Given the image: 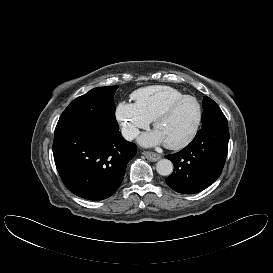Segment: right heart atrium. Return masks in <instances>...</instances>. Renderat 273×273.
Returning <instances> with one entry per match:
<instances>
[{
	"instance_id": "1",
	"label": "right heart atrium",
	"mask_w": 273,
	"mask_h": 273,
	"mask_svg": "<svg viewBox=\"0 0 273 273\" xmlns=\"http://www.w3.org/2000/svg\"><path fill=\"white\" fill-rule=\"evenodd\" d=\"M115 117L121 126L123 136L128 140L134 139L140 130L147 128L151 122L134 104L125 101L117 105Z\"/></svg>"
}]
</instances>
